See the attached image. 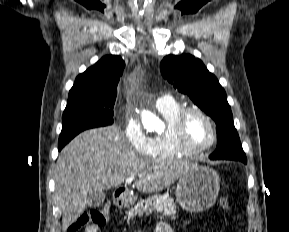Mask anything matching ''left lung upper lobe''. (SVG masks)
<instances>
[{"mask_svg": "<svg viewBox=\"0 0 289 232\" xmlns=\"http://www.w3.org/2000/svg\"><path fill=\"white\" fill-rule=\"evenodd\" d=\"M160 70L164 79L179 92L187 94L215 121L217 147L209 158L247 160L234 127L226 93L203 62L190 54L168 55L161 61Z\"/></svg>", "mask_w": 289, "mask_h": 232, "instance_id": "obj_1", "label": "left lung upper lobe"}]
</instances>
